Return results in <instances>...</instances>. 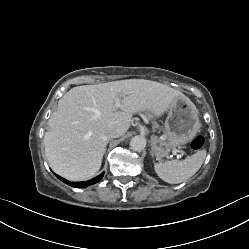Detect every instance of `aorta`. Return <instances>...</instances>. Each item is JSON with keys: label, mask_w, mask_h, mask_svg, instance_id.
I'll return each mask as SVG.
<instances>
[{"label": "aorta", "mask_w": 249, "mask_h": 249, "mask_svg": "<svg viewBox=\"0 0 249 249\" xmlns=\"http://www.w3.org/2000/svg\"><path fill=\"white\" fill-rule=\"evenodd\" d=\"M146 146V138L141 135L134 136L130 141V147L134 151H142Z\"/></svg>", "instance_id": "762f6f07"}]
</instances>
